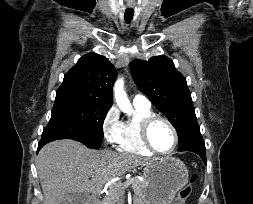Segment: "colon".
<instances>
[{
  "label": "colon",
  "mask_w": 253,
  "mask_h": 204,
  "mask_svg": "<svg viewBox=\"0 0 253 204\" xmlns=\"http://www.w3.org/2000/svg\"><path fill=\"white\" fill-rule=\"evenodd\" d=\"M198 176L197 174L191 175V183L183 186L178 194L176 199L174 200L173 204H185L186 201L189 199L191 193H192V185L196 182Z\"/></svg>",
  "instance_id": "1"
}]
</instances>
